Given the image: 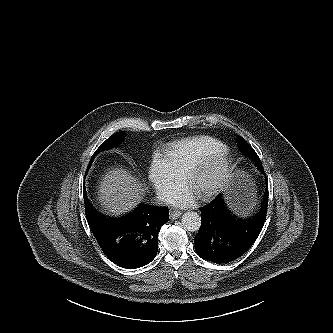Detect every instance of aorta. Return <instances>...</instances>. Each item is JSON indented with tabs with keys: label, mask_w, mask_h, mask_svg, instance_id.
<instances>
[{
	"label": "aorta",
	"mask_w": 333,
	"mask_h": 333,
	"mask_svg": "<svg viewBox=\"0 0 333 333\" xmlns=\"http://www.w3.org/2000/svg\"><path fill=\"white\" fill-rule=\"evenodd\" d=\"M181 222L185 230L196 232L201 226V217L197 212L188 211L182 215Z\"/></svg>",
	"instance_id": "obj_1"
}]
</instances>
